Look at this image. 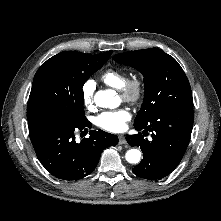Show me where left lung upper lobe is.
<instances>
[{
  "label": "left lung upper lobe",
  "instance_id": "obj_1",
  "mask_svg": "<svg viewBox=\"0 0 221 221\" xmlns=\"http://www.w3.org/2000/svg\"><path fill=\"white\" fill-rule=\"evenodd\" d=\"M113 59L139 70L144 76L145 96L134 126L146 124L161 111L192 109L190 83L178 62L158 48L116 54Z\"/></svg>",
  "mask_w": 221,
  "mask_h": 221
}]
</instances>
